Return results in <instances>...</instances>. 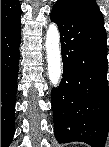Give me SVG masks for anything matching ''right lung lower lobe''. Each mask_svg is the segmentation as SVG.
Listing matches in <instances>:
<instances>
[{
    "mask_svg": "<svg viewBox=\"0 0 109 147\" xmlns=\"http://www.w3.org/2000/svg\"><path fill=\"white\" fill-rule=\"evenodd\" d=\"M21 42V20L1 28V146L7 147L15 132V98Z\"/></svg>",
    "mask_w": 109,
    "mask_h": 147,
    "instance_id": "obj_1",
    "label": "right lung lower lobe"
}]
</instances>
